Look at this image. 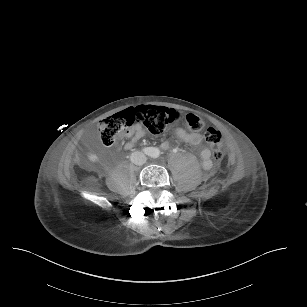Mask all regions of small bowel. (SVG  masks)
<instances>
[{
	"mask_svg": "<svg viewBox=\"0 0 307 307\" xmlns=\"http://www.w3.org/2000/svg\"><path fill=\"white\" fill-rule=\"evenodd\" d=\"M127 136H130L132 139L126 144V149H131L136 141L141 138L145 132L140 126H135L131 130H129L127 133ZM176 137L185 142L189 143L191 145L199 146L203 142V137L200 133L198 132H190L185 129L179 128L175 131ZM161 147L163 149L169 148V143L167 141L162 142ZM210 156H211V151L208 148H203L200 152V157L203 161V166L205 168H210L211 162H210ZM88 158L91 161H96L98 160V155L95 152H89L88 153Z\"/></svg>",
	"mask_w": 307,
	"mask_h": 307,
	"instance_id": "obj_1",
	"label": "small bowel"
}]
</instances>
